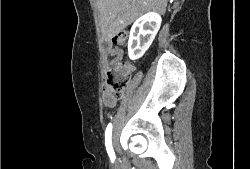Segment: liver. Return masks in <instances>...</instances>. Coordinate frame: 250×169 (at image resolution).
Listing matches in <instances>:
<instances>
[{
    "mask_svg": "<svg viewBox=\"0 0 250 169\" xmlns=\"http://www.w3.org/2000/svg\"><path fill=\"white\" fill-rule=\"evenodd\" d=\"M104 40H111L122 28L147 10L164 14L167 0H94Z\"/></svg>",
    "mask_w": 250,
    "mask_h": 169,
    "instance_id": "liver-1",
    "label": "liver"
}]
</instances>
